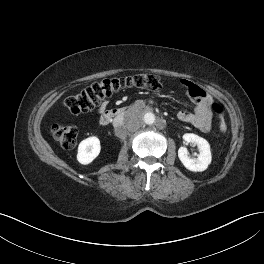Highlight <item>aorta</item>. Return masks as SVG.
<instances>
[{
    "label": "aorta",
    "instance_id": "1",
    "mask_svg": "<svg viewBox=\"0 0 264 264\" xmlns=\"http://www.w3.org/2000/svg\"><path fill=\"white\" fill-rule=\"evenodd\" d=\"M143 121L148 125H152L155 122V115L151 112H147L143 116Z\"/></svg>",
    "mask_w": 264,
    "mask_h": 264
}]
</instances>
